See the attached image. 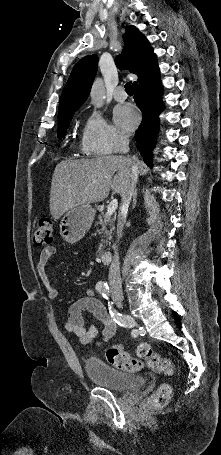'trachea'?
I'll use <instances>...</instances> for the list:
<instances>
[{"label": "trachea", "instance_id": "trachea-1", "mask_svg": "<svg viewBox=\"0 0 221 455\" xmlns=\"http://www.w3.org/2000/svg\"><path fill=\"white\" fill-rule=\"evenodd\" d=\"M125 89L127 93H133L131 81L125 84Z\"/></svg>", "mask_w": 221, "mask_h": 455}]
</instances>
